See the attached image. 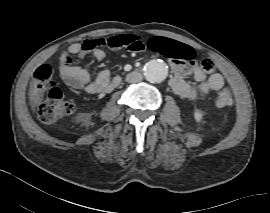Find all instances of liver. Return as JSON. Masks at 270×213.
Returning <instances> with one entry per match:
<instances>
[{"label": "liver", "mask_w": 270, "mask_h": 213, "mask_svg": "<svg viewBox=\"0 0 270 213\" xmlns=\"http://www.w3.org/2000/svg\"><path fill=\"white\" fill-rule=\"evenodd\" d=\"M37 82L34 81L33 84H36ZM33 93L35 95V100L38 101L39 100V90L37 88H33Z\"/></svg>", "instance_id": "1"}]
</instances>
